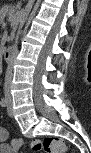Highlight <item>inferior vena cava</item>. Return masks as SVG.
Segmentation results:
<instances>
[{"instance_id": "inferior-vena-cava-1", "label": "inferior vena cava", "mask_w": 91, "mask_h": 153, "mask_svg": "<svg viewBox=\"0 0 91 153\" xmlns=\"http://www.w3.org/2000/svg\"><path fill=\"white\" fill-rule=\"evenodd\" d=\"M33 2L34 0H29L27 6L25 7V9L23 10L22 12V21H24V18L29 14L31 8H32V5H33ZM17 46V45H16ZM13 53H18V47H13ZM15 55H12V57L10 58V63H8V69L6 71V75H5V83H4V86H5V90L9 91V87L11 85V80H12V70H13V63H15V60L17 59L16 57H14ZM8 96L10 97V95L8 94Z\"/></svg>"}]
</instances>
